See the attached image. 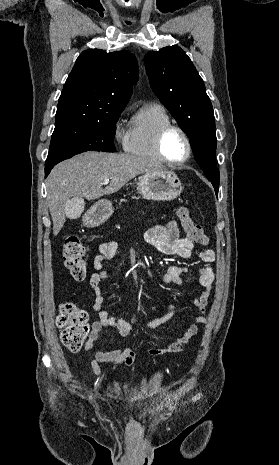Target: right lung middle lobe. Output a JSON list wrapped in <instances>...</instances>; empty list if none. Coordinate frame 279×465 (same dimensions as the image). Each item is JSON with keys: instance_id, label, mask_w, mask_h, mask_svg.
<instances>
[{"instance_id": "obj_1", "label": "right lung middle lobe", "mask_w": 279, "mask_h": 465, "mask_svg": "<svg viewBox=\"0 0 279 465\" xmlns=\"http://www.w3.org/2000/svg\"><path fill=\"white\" fill-rule=\"evenodd\" d=\"M123 109L106 113L100 120L77 121L55 126L45 167L89 150L115 152L113 138Z\"/></svg>"}]
</instances>
